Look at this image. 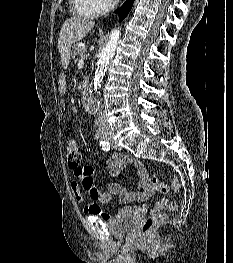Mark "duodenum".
I'll return each mask as SVG.
<instances>
[{
	"instance_id": "duodenum-1",
	"label": "duodenum",
	"mask_w": 233,
	"mask_h": 263,
	"mask_svg": "<svg viewBox=\"0 0 233 263\" xmlns=\"http://www.w3.org/2000/svg\"><path fill=\"white\" fill-rule=\"evenodd\" d=\"M81 79H82L81 86L84 87L85 90H90V89H91V86H90V82H91L90 76H89V75H82V76H81Z\"/></svg>"
}]
</instances>
